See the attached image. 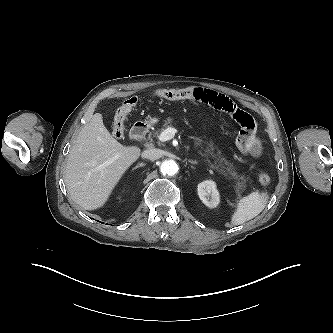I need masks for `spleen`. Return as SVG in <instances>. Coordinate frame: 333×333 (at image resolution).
<instances>
[{
  "label": "spleen",
  "mask_w": 333,
  "mask_h": 333,
  "mask_svg": "<svg viewBox=\"0 0 333 333\" xmlns=\"http://www.w3.org/2000/svg\"><path fill=\"white\" fill-rule=\"evenodd\" d=\"M268 200L267 194L252 192L240 199L231 218L232 225H241L259 215L265 208Z\"/></svg>",
  "instance_id": "1"
}]
</instances>
